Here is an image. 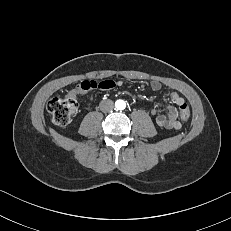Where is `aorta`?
<instances>
[{
    "label": "aorta",
    "instance_id": "762f6f07",
    "mask_svg": "<svg viewBox=\"0 0 231 231\" xmlns=\"http://www.w3.org/2000/svg\"><path fill=\"white\" fill-rule=\"evenodd\" d=\"M115 106L117 109L122 110L125 108L126 104L123 100H117Z\"/></svg>",
    "mask_w": 231,
    "mask_h": 231
}]
</instances>
